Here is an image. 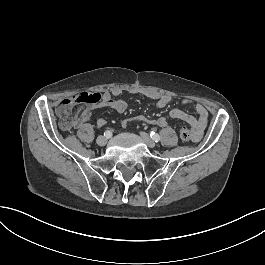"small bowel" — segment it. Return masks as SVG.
Returning <instances> with one entry per match:
<instances>
[{
    "instance_id": "obj_1",
    "label": "small bowel",
    "mask_w": 265,
    "mask_h": 265,
    "mask_svg": "<svg viewBox=\"0 0 265 265\" xmlns=\"http://www.w3.org/2000/svg\"><path fill=\"white\" fill-rule=\"evenodd\" d=\"M132 94L143 95L148 99L154 100L156 102L157 108H164L167 106L172 98L167 94H159L153 91H143L140 89H132ZM121 94L119 89H115L112 92H104L102 94L101 100L97 103L96 107H109L114 109L117 112H125L128 108V104L124 98H118ZM181 104L184 106H193L196 115H191L188 112L181 109H172L169 112V117L171 119L182 120L189 125L190 129V141L198 142L202 139L204 131L208 124V111L200 103H195L189 98H182ZM91 108H85L82 114L74 121V125L81 127L86 125L91 119ZM143 121V124H148V119H145V116H132L128 120L122 121L123 128H128V123ZM106 124L105 117L101 116L97 119V126L102 127ZM151 126L166 127L168 125V120L166 117H159L156 120H150Z\"/></svg>"
}]
</instances>
